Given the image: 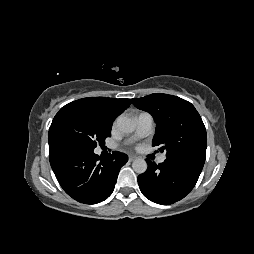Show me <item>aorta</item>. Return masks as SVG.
<instances>
[{
  "instance_id": "762f6f07",
  "label": "aorta",
  "mask_w": 254,
  "mask_h": 254,
  "mask_svg": "<svg viewBox=\"0 0 254 254\" xmlns=\"http://www.w3.org/2000/svg\"><path fill=\"white\" fill-rule=\"evenodd\" d=\"M116 123L119 131L124 134L132 133L135 130V122L129 117L121 116ZM147 167V162L142 158L135 159L132 163L133 170L138 174L146 172Z\"/></svg>"
}]
</instances>
